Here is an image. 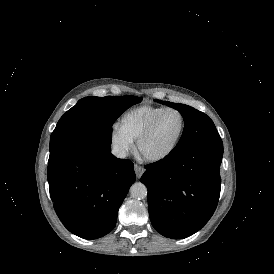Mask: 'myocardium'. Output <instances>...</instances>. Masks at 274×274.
<instances>
[{"label": "myocardium", "mask_w": 274, "mask_h": 274, "mask_svg": "<svg viewBox=\"0 0 274 274\" xmlns=\"http://www.w3.org/2000/svg\"><path fill=\"white\" fill-rule=\"evenodd\" d=\"M169 111L177 112L182 118L181 129H180L176 139L174 140L172 146L169 148V150L167 152H165L164 154H162L161 156H158V157H149V156H146V155L142 154V144H143L144 140L151 134V132L153 131V129L157 125L160 118L166 112H169ZM186 127H187V119H186V116H185L184 112L181 109L176 108V107H165V108H163L158 114H156L151 119V121L147 124V126L143 129V131L139 134L138 138L136 139V154H137L138 158L142 162H145L147 164H160V163L165 162L176 151L181 139L183 138Z\"/></svg>", "instance_id": "obj_1"}]
</instances>
